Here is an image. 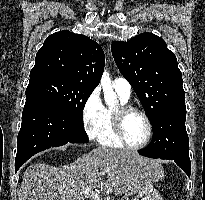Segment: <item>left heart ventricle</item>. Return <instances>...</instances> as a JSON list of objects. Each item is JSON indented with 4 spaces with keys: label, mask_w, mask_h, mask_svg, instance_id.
<instances>
[{
    "label": "left heart ventricle",
    "mask_w": 205,
    "mask_h": 200,
    "mask_svg": "<svg viewBox=\"0 0 205 200\" xmlns=\"http://www.w3.org/2000/svg\"><path fill=\"white\" fill-rule=\"evenodd\" d=\"M147 124L138 114L129 115L124 122V133L127 141L132 145L143 143L147 137Z\"/></svg>",
    "instance_id": "b2bd125f"
}]
</instances>
